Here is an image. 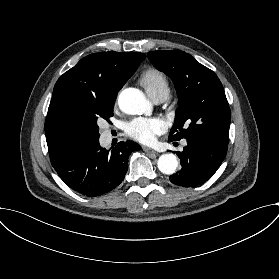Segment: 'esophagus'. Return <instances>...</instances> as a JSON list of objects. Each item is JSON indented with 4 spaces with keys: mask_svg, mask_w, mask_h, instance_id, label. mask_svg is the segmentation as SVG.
Wrapping results in <instances>:
<instances>
[{
    "mask_svg": "<svg viewBox=\"0 0 279 279\" xmlns=\"http://www.w3.org/2000/svg\"><path fill=\"white\" fill-rule=\"evenodd\" d=\"M142 149L149 155H151L153 158L156 157L157 153L155 152V150H153L152 148L150 147H147V146H142Z\"/></svg>",
    "mask_w": 279,
    "mask_h": 279,
    "instance_id": "esophagus-1",
    "label": "esophagus"
}]
</instances>
